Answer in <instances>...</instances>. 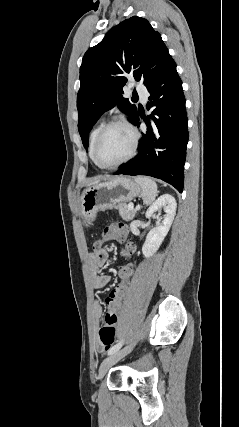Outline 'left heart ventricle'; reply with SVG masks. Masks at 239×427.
I'll return each mask as SVG.
<instances>
[{"instance_id": "b2bd125f", "label": "left heart ventricle", "mask_w": 239, "mask_h": 427, "mask_svg": "<svg viewBox=\"0 0 239 427\" xmlns=\"http://www.w3.org/2000/svg\"><path fill=\"white\" fill-rule=\"evenodd\" d=\"M132 134L122 126H115L103 136L98 147V158L104 164H115L131 150Z\"/></svg>"}]
</instances>
